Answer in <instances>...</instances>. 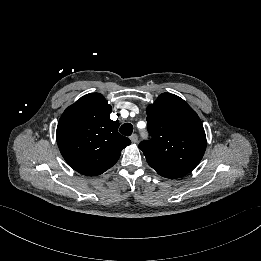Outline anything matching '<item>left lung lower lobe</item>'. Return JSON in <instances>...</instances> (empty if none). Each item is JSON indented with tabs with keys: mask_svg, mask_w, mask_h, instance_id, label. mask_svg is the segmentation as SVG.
I'll use <instances>...</instances> for the list:
<instances>
[{
	"mask_svg": "<svg viewBox=\"0 0 261 261\" xmlns=\"http://www.w3.org/2000/svg\"><path fill=\"white\" fill-rule=\"evenodd\" d=\"M161 176L163 177H166V178H177V177H174V176H171V175H166V174H160Z\"/></svg>",
	"mask_w": 261,
	"mask_h": 261,
	"instance_id": "1",
	"label": "left lung lower lobe"
}]
</instances>
